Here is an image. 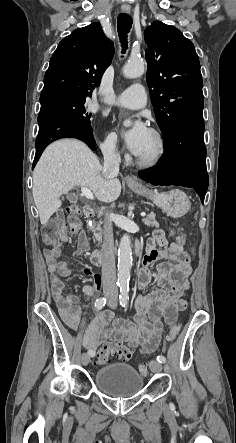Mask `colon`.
<instances>
[{
  "label": "colon",
  "mask_w": 236,
  "mask_h": 443,
  "mask_svg": "<svg viewBox=\"0 0 236 443\" xmlns=\"http://www.w3.org/2000/svg\"><path fill=\"white\" fill-rule=\"evenodd\" d=\"M81 208L76 204L68 205L66 208V220L72 233H78L81 225ZM65 234L64 223L61 219H54L50 221L43 229V239L46 243L53 245V248L58 249L59 239ZM176 243L184 245L187 242V233L182 227H176L173 230ZM180 334V326L175 324L172 326L168 342L170 345L175 344ZM132 357V350L126 346L118 343H106L98 352V363L104 365L113 360L128 361ZM139 372L147 375V367L145 364L139 365Z\"/></svg>",
  "instance_id": "obj_1"
}]
</instances>
